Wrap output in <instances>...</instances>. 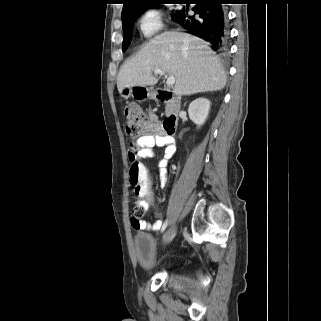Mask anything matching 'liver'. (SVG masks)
I'll return each mask as SVG.
<instances>
[{
	"mask_svg": "<svg viewBox=\"0 0 321 321\" xmlns=\"http://www.w3.org/2000/svg\"><path fill=\"white\" fill-rule=\"evenodd\" d=\"M154 69L175 77L173 92L178 96L218 91L226 84L220 59L209 43L187 33L167 31L149 40L123 65L117 78L119 93L126 87L155 85Z\"/></svg>",
	"mask_w": 321,
	"mask_h": 321,
	"instance_id": "1",
	"label": "liver"
}]
</instances>
